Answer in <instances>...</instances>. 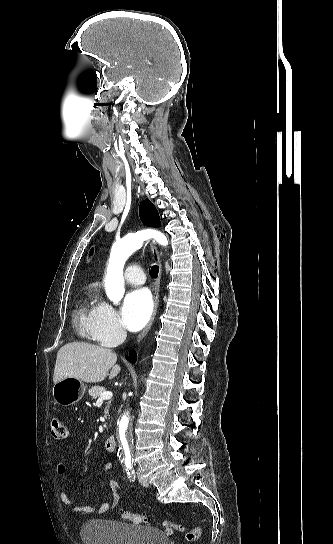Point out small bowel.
I'll list each match as a JSON object with an SVG mask.
<instances>
[{
    "mask_svg": "<svg viewBox=\"0 0 333 544\" xmlns=\"http://www.w3.org/2000/svg\"><path fill=\"white\" fill-rule=\"evenodd\" d=\"M113 466L114 465L112 462L105 463L101 470V473L103 475L108 474L109 471L112 470ZM66 470H67V467L64 462L61 461L57 463L56 472L58 474L63 475L66 473ZM110 488L112 491L111 501L105 502L99 506L82 505L77 500L69 497L68 494L64 490L60 492V499L75 514L101 515L107 512L109 509L116 507L120 500L119 485L115 480L110 481Z\"/></svg>",
    "mask_w": 333,
    "mask_h": 544,
    "instance_id": "c3829d8e",
    "label": "small bowel"
}]
</instances>
